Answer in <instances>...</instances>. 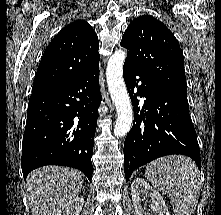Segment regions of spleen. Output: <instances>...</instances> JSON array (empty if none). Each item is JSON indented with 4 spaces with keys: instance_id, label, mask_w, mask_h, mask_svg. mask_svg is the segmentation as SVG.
Returning a JSON list of instances; mask_svg holds the SVG:
<instances>
[{
    "instance_id": "obj_1",
    "label": "spleen",
    "mask_w": 221,
    "mask_h": 215,
    "mask_svg": "<svg viewBox=\"0 0 221 215\" xmlns=\"http://www.w3.org/2000/svg\"><path fill=\"white\" fill-rule=\"evenodd\" d=\"M151 184L169 196L174 215H193L200 194V173L188 157L171 155L146 166Z\"/></svg>"
}]
</instances>
